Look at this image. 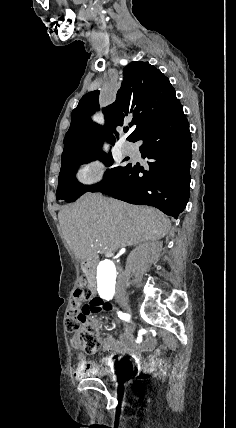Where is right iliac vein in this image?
<instances>
[{
    "mask_svg": "<svg viewBox=\"0 0 236 428\" xmlns=\"http://www.w3.org/2000/svg\"><path fill=\"white\" fill-rule=\"evenodd\" d=\"M116 299H118L119 305H125L124 307L127 311L130 309L127 303L128 299L125 294H118ZM128 313L131 314L132 312L129 310ZM128 333H133V327L131 325L128 327Z\"/></svg>",
    "mask_w": 236,
    "mask_h": 428,
    "instance_id": "63e3f726",
    "label": "right iliac vein"
}]
</instances>
